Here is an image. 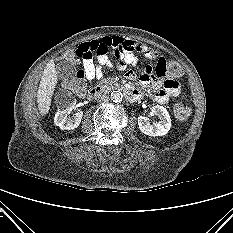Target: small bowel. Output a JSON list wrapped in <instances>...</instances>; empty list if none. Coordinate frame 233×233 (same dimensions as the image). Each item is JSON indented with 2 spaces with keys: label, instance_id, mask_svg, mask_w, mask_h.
Returning a JSON list of instances; mask_svg holds the SVG:
<instances>
[{
  "label": "small bowel",
  "instance_id": "1",
  "mask_svg": "<svg viewBox=\"0 0 233 233\" xmlns=\"http://www.w3.org/2000/svg\"><path fill=\"white\" fill-rule=\"evenodd\" d=\"M110 52L117 60L115 65L109 57ZM135 52L142 54L149 60L157 61V65L165 59L160 52L142 43L116 36L83 42L76 49L77 56L83 61L85 76L90 81L102 78L103 67L116 66L118 69L124 70L128 65H134L136 63ZM126 76L131 80L137 77L136 73L131 70L127 71ZM140 81L144 85L151 84L154 99L159 104H166L171 97L178 96L181 92V86L176 80H162L161 76L153 74V68L150 65L142 70ZM133 92L137 98L142 96L139 90Z\"/></svg>",
  "mask_w": 233,
  "mask_h": 233
}]
</instances>
